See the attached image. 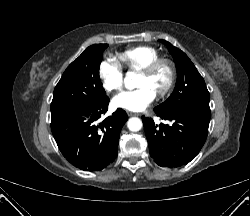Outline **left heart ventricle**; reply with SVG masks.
<instances>
[{"label": "left heart ventricle", "instance_id": "obj_1", "mask_svg": "<svg viewBox=\"0 0 250 216\" xmlns=\"http://www.w3.org/2000/svg\"><path fill=\"white\" fill-rule=\"evenodd\" d=\"M162 77V76H161ZM140 82L141 83H145L150 85L152 88H158L159 84L161 83L160 80L157 79V77L153 76V77H146V76H142L140 78Z\"/></svg>", "mask_w": 250, "mask_h": 216}]
</instances>
